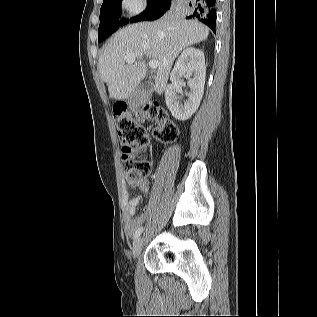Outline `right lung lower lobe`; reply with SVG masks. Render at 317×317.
<instances>
[{"label": "right lung lower lobe", "instance_id": "right-lung-lower-lobe-1", "mask_svg": "<svg viewBox=\"0 0 317 317\" xmlns=\"http://www.w3.org/2000/svg\"><path fill=\"white\" fill-rule=\"evenodd\" d=\"M173 0H161L157 6L141 21H152L160 18L167 10L170 9ZM189 1L187 6L189 7L187 19L197 18L209 26L215 32L216 25V0H185Z\"/></svg>", "mask_w": 317, "mask_h": 317}]
</instances>
